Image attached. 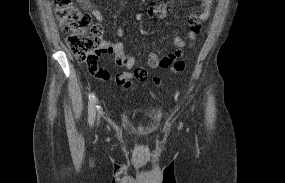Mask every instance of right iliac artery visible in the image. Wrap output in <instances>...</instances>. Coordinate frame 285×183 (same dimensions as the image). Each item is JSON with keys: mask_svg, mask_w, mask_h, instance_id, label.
Listing matches in <instances>:
<instances>
[{"mask_svg": "<svg viewBox=\"0 0 285 183\" xmlns=\"http://www.w3.org/2000/svg\"><path fill=\"white\" fill-rule=\"evenodd\" d=\"M95 107H96V97L94 93H92L89 95V102H88V121L90 125H92L95 120V115H96Z\"/></svg>", "mask_w": 285, "mask_h": 183, "instance_id": "right-iliac-artery-1", "label": "right iliac artery"}]
</instances>
